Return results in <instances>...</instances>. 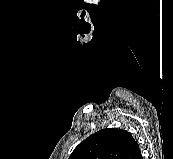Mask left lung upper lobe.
I'll use <instances>...</instances> for the list:
<instances>
[{
    "mask_svg": "<svg viewBox=\"0 0 173 159\" xmlns=\"http://www.w3.org/2000/svg\"><path fill=\"white\" fill-rule=\"evenodd\" d=\"M139 153V146L129 132L106 128L81 142L69 159H135Z\"/></svg>",
    "mask_w": 173,
    "mask_h": 159,
    "instance_id": "5c2ea615",
    "label": "left lung upper lobe"
}]
</instances>
